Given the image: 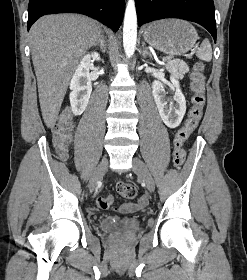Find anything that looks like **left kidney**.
Wrapping results in <instances>:
<instances>
[{
  "mask_svg": "<svg viewBox=\"0 0 247 280\" xmlns=\"http://www.w3.org/2000/svg\"><path fill=\"white\" fill-rule=\"evenodd\" d=\"M171 83V88L175 91L174 102L171 104H168L164 87L159 80L153 82L152 93L162 121L169 128H176L180 125L185 115L186 100L180 90L179 81L171 77Z\"/></svg>",
  "mask_w": 247,
  "mask_h": 280,
  "instance_id": "1",
  "label": "left kidney"
}]
</instances>
